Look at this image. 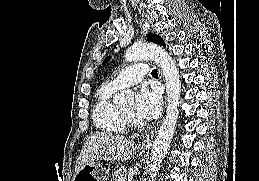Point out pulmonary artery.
I'll return each mask as SVG.
<instances>
[{
	"instance_id": "1",
	"label": "pulmonary artery",
	"mask_w": 259,
	"mask_h": 181,
	"mask_svg": "<svg viewBox=\"0 0 259 181\" xmlns=\"http://www.w3.org/2000/svg\"><path fill=\"white\" fill-rule=\"evenodd\" d=\"M148 73V67L143 62H137L121 71L111 84L117 88H123L139 83L143 76Z\"/></svg>"
}]
</instances>
